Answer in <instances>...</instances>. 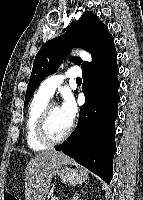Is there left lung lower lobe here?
Segmentation results:
<instances>
[{
    "instance_id": "0a47b994",
    "label": "left lung lower lobe",
    "mask_w": 143,
    "mask_h": 200,
    "mask_svg": "<svg viewBox=\"0 0 143 200\" xmlns=\"http://www.w3.org/2000/svg\"><path fill=\"white\" fill-rule=\"evenodd\" d=\"M117 52L112 39L93 60L82 68L85 104L80 120L68 141L56 150L72 157L106 183L113 176L116 153L114 126L120 101Z\"/></svg>"
}]
</instances>
